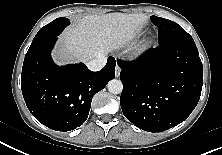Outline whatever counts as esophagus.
I'll list each match as a JSON object with an SVG mask.
<instances>
[{"label":"esophagus","instance_id":"obj_1","mask_svg":"<svg viewBox=\"0 0 222 155\" xmlns=\"http://www.w3.org/2000/svg\"><path fill=\"white\" fill-rule=\"evenodd\" d=\"M120 72H121V68L116 64V67H115V76H116V77H119Z\"/></svg>","mask_w":222,"mask_h":155}]
</instances>
